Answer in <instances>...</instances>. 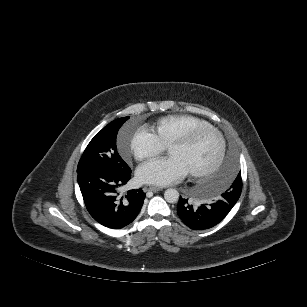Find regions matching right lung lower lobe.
I'll list each match as a JSON object with an SVG mask.
<instances>
[{"instance_id": "1", "label": "right lung lower lobe", "mask_w": 307, "mask_h": 307, "mask_svg": "<svg viewBox=\"0 0 307 307\" xmlns=\"http://www.w3.org/2000/svg\"><path fill=\"white\" fill-rule=\"evenodd\" d=\"M131 177V169L122 174L102 170L78 173L77 180L90 215L100 224L120 229L138 215L145 199L141 189L120 196L118 189Z\"/></svg>"}]
</instances>
